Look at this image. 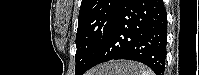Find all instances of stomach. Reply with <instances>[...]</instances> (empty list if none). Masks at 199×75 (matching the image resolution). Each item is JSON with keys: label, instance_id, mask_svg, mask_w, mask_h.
<instances>
[{"label": "stomach", "instance_id": "obj_1", "mask_svg": "<svg viewBox=\"0 0 199 75\" xmlns=\"http://www.w3.org/2000/svg\"><path fill=\"white\" fill-rule=\"evenodd\" d=\"M138 69L134 62L116 61L98 66L94 75H138Z\"/></svg>", "mask_w": 199, "mask_h": 75}]
</instances>
